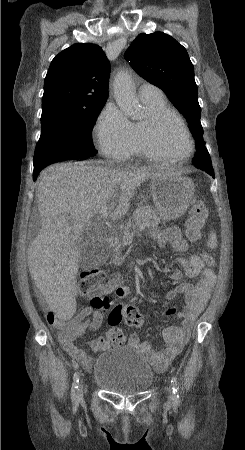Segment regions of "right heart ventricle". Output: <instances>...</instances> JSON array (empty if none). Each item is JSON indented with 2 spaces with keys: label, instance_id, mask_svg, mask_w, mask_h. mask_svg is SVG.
Returning a JSON list of instances; mask_svg holds the SVG:
<instances>
[{
  "label": "right heart ventricle",
  "instance_id": "1",
  "mask_svg": "<svg viewBox=\"0 0 245 450\" xmlns=\"http://www.w3.org/2000/svg\"><path fill=\"white\" fill-rule=\"evenodd\" d=\"M144 105L146 106V109L148 111V118L151 116H156L158 114L162 113H170L174 115L179 121L183 122L180 115L177 113V111L171 107L165 98H159V99H152L147 101H142ZM147 120L138 122L137 124H133L134 126V133H135V149L134 153L142 156V157H149L145 146L143 142V136H142V128Z\"/></svg>",
  "mask_w": 245,
  "mask_h": 450
}]
</instances>
